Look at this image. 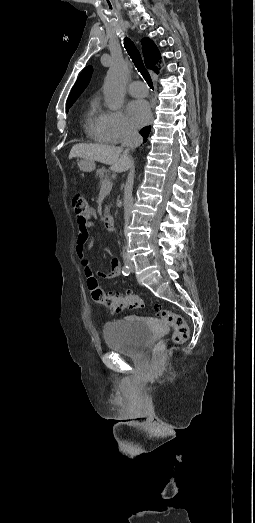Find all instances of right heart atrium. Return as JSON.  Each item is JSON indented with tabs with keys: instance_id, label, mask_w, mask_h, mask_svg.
<instances>
[{
	"instance_id": "right-heart-atrium-1",
	"label": "right heart atrium",
	"mask_w": 255,
	"mask_h": 523,
	"mask_svg": "<svg viewBox=\"0 0 255 523\" xmlns=\"http://www.w3.org/2000/svg\"><path fill=\"white\" fill-rule=\"evenodd\" d=\"M109 116L111 128L117 139L126 140L136 135V128L128 121L122 109L109 112Z\"/></svg>"
}]
</instances>
